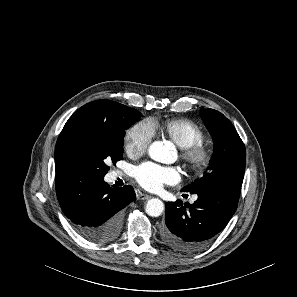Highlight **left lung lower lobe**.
Returning a JSON list of instances; mask_svg holds the SVG:
<instances>
[{
	"label": "left lung lower lobe",
	"instance_id": "1",
	"mask_svg": "<svg viewBox=\"0 0 297 297\" xmlns=\"http://www.w3.org/2000/svg\"><path fill=\"white\" fill-rule=\"evenodd\" d=\"M240 192L241 188L213 186L195 192L198 199L193 204L167 202L163 242L180 252L201 249L225 228L237 209Z\"/></svg>",
	"mask_w": 297,
	"mask_h": 297
}]
</instances>
